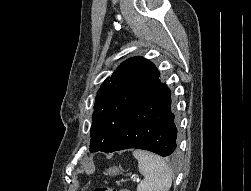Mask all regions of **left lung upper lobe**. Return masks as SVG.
Here are the masks:
<instances>
[{
  "label": "left lung upper lobe",
  "instance_id": "1",
  "mask_svg": "<svg viewBox=\"0 0 251 191\" xmlns=\"http://www.w3.org/2000/svg\"><path fill=\"white\" fill-rule=\"evenodd\" d=\"M159 76L150 61L133 57L105 80L95 99L90 151H109L134 107Z\"/></svg>",
  "mask_w": 251,
  "mask_h": 191
}]
</instances>
